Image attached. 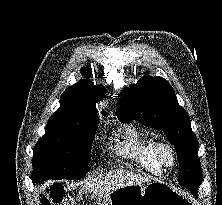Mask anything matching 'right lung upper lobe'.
I'll list each match as a JSON object with an SVG mask.
<instances>
[{
  "instance_id": "obj_1",
  "label": "right lung upper lobe",
  "mask_w": 222,
  "mask_h": 205,
  "mask_svg": "<svg viewBox=\"0 0 222 205\" xmlns=\"http://www.w3.org/2000/svg\"><path fill=\"white\" fill-rule=\"evenodd\" d=\"M81 71L83 74H87L85 68H82ZM104 97V87L94 85L88 78L82 79L65 90L61 96L60 108L50 117L48 122L98 121L96 103ZM102 113L107 115L104 110Z\"/></svg>"
}]
</instances>
